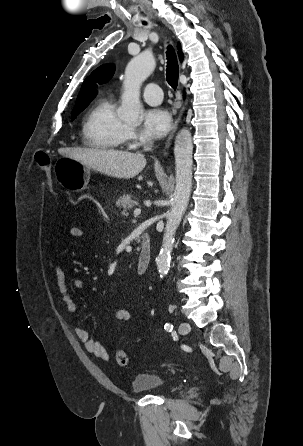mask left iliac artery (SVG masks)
Listing matches in <instances>:
<instances>
[{"label": "left iliac artery", "mask_w": 303, "mask_h": 446, "mask_svg": "<svg viewBox=\"0 0 303 446\" xmlns=\"http://www.w3.org/2000/svg\"><path fill=\"white\" fill-rule=\"evenodd\" d=\"M164 329H165L166 331L171 332V331L173 330V325L170 324V323H166L165 326H164Z\"/></svg>", "instance_id": "obj_1"}]
</instances>
